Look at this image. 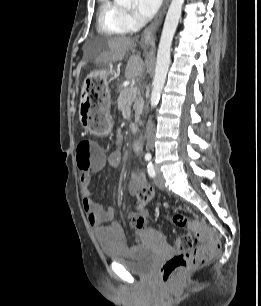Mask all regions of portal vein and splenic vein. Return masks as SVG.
Listing matches in <instances>:
<instances>
[{
    "mask_svg": "<svg viewBox=\"0 0 261 306\" xmlns=\"http://www.w3.org/2000/svg\"><path fill=\"white\" fill-rule=\"evenodd\" d=\"M132 88V92L135 95L137 93V89L135 87H131Z\"/></svg>",
    "mask_w": 261,
    "mask_h": 306,
    "instance_id": "portal-vein-and-splenic-vein-1",
    "label": "portal vein and splenic vein"
}]
</instances>
